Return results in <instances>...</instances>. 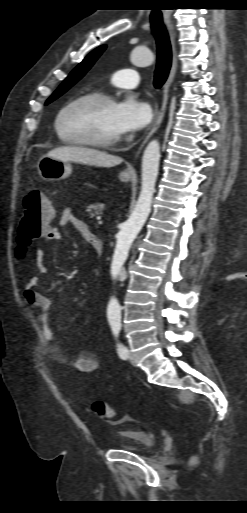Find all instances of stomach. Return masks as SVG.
I'll use <instances>...</instances> for the list:
<instances>
[{"label":"stomach","instance_id":"0dacf381","mask_svg":"<svg viewBox=\"0 0 247 513\" xmlns=\"http://www.w3.org/2000/svg\"><path fill=\"white\" fill-rule=\"evenodd\" d=\"M38 172L41 178L47 182L59 181L67 178L72 172V166L68 161H61L57 158L43 156L38 162ZM122 182H129L131 176L125 173L119 174Z\"/></svg>","mask_w":247,"mask_h":513}]
</instances>
